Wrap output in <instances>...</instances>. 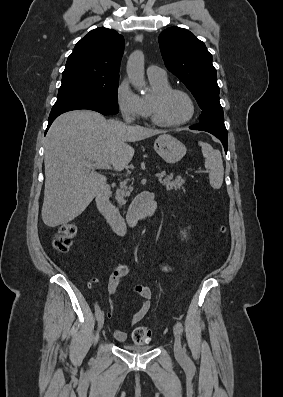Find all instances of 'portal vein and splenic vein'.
Returning <instances> with one entry per match:
<instances>
[{"label":"portal vein and splenic vein","mask_w":283,"mask_h":397,"mask_svg":"<svg viewBox=\"0 0 283 397\" xmlns=\"http://www.w3.org/2000/svg\"><path fill=\"white\" fill-rule=\"evenodd\" d=\"M98 166H99L100 168H103V169H111V166H110V164H108V163H99ZM155 176H156L157 178H160V179H161V178H163V177L165 176V172L163 171V172H161V173H156Z\"/></svg>","instance_id":"1"}]
</instances>
